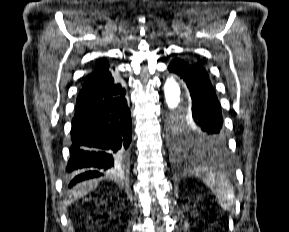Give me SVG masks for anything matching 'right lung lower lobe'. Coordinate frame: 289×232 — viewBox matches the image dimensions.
Here are the masks:
<instances>
[{
	"label": "right lung lower lobe",
	"mask_w": 289,
	"mask_h": 232,
	"mask_svg": "<svg viewBox=\"0 0 289 232\" xmlns=\"http://www.w3.org/2000/svg\"><path fill=\"white\" fill-rule=\"evenodd\" d=\"M125 93L124 90L113 98L76 105L71 129L73 144L66 168L74 175L70 187L102 176L124 161L132 136Z\"/></svg>",
	"instance_id": "1"
}]
</instances>
